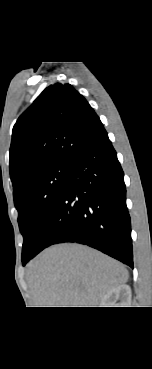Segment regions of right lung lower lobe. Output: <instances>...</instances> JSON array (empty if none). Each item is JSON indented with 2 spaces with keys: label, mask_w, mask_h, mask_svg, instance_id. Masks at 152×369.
Listing matches in <instances>:
<instances>
[{
  "label": "right lung lower lobe",
  "mask_w": 152,
  "mask_h": 369,
  "mask_svg": "<svg viewBox=\"0 0 152 369\" xmlns=\"http://www.w3.org/2000/svg\"><path fill=\"white\" fill-rule=\"evenodd\" d=\"M63 242L91 246L133 268L124 173L105 131L71 160L34 254Z\"/></svg>",
  "instance_id": "right-lung-lower-lobe-1"
}]
</instances>
